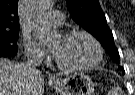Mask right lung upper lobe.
Listing matches in <instances>:
<instances>
[{
	"label": "right lung upper lobe",
	"instance_id": "1",
	"mask_svg": "<svg viewBox=\"0 0 135 95\" xmlns=\"http://www.w3.org/2000/svg\"><path fill=\"white\" fill-rule=\"evenodd\" d=\"M19 30L18 0H0V31Z\"/></svg>",
	"mask_w": 135,
	"mask_h": 95
}]
</instances>
